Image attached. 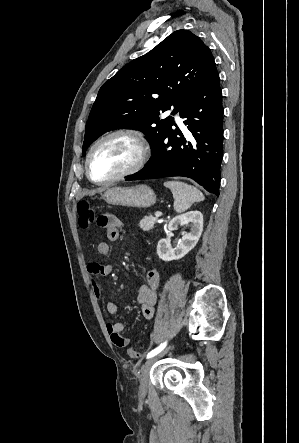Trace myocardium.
<instances>
[{"instance_id":"1","label":"myocardium","mask_w":299,"mask_h":443,"mask_svg":"<svg viewBox=\"0 0 299 443\" xmlns=\"http://www.w3.org/2000/svg\"><path fill=\"white\" fill-rule=\"evenodd\" d=\"M115 136H125V137H128L131 140H133L137 146V149H138V156H137L136 160L134 161V163L131 166H129L127 169L123 170L122 172H120L110 178H107V179H103V180L94 179L91 174V158L93 156V153H94L95 149L102 142H104L105 140H107L109 138L115 137ZM149 151H150V147H149L148 141L140 131H138L136 129H130V128L117 129V130L111 131V132L101 136L99 139H97L90 147L87 157H86V175L89 178V180L95 184L107 185V184L114 183L118 180L128 177V176L138 172L139 170H141L147 162V159L149 156Z\"/></svg>"}]
</instances>
